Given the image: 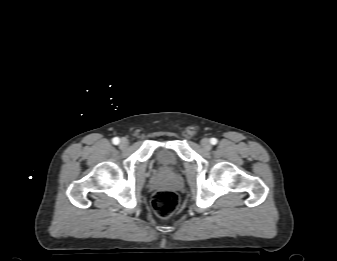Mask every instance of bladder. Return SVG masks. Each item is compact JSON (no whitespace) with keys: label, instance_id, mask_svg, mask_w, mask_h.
<instances>
[{"label":"bladder","instance_id":"1","mask_svg":"<svg viewBox=\"0 0 337 261\" xmlns=\"http://www.w3.org/2000/svg\"><path fill=\"white\" fill-rule=\"evenodd\" d=\"M156 160L165 168H173L177 165V157L175 153L166 148H160L156 152Z\"/></svg>","mask_w":337,"mask_h":261}]
</instances>
